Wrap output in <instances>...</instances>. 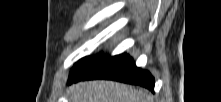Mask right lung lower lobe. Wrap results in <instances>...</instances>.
Returning <instances> with one entry per match:
<instances>
[{"mask_svg":"<svg viewBox=\"0 0 221 102\" xmlns=\"http://www.w3.org/2000/svg\"><path fill=\"white\" fill-rule=\"evenodd\" d=\"M88 79H111L154 90L152 75L136 67L133 59L126 54L94 58L84 68L70 75L68 84Z\"/></svg>","mask_w":221,"mask_h":102,"instance_id":"obj_1","label":"right lung lower lobe"}]
</instances>
